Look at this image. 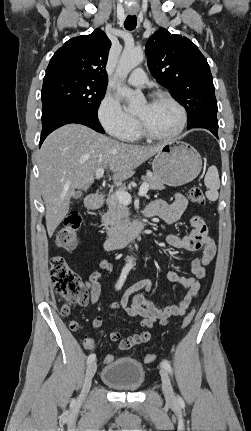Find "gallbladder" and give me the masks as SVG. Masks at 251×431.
Returning a JSON list of instances; mask_svg holds the SVG:
<instances>
[{
  "label": "gallbladder",
  "mask_w": 251,
  "mask_h": 431,
  "mask_svg": "<svg viewBox=\"0 0 251 431\" xmlns=\"http://www.w3.org/2000/svg\"><path fill=\"white\" fill-rule=\"evenodd\" d=\"M81 195H82V192H81V191H77V192L73 195V198H74V199H77V198L81 197Z\"/></svg>",
  "instance_id": "1"
}]
</instances>
